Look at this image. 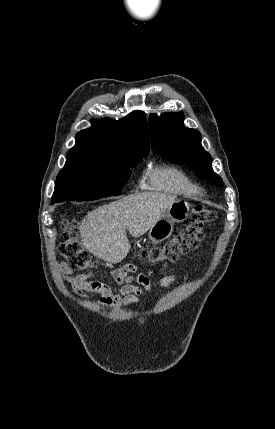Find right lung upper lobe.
I'll list each match as a JSON object with an SVG mask.
<instances>
[{"mask_svg":"<svg viewBox=\"0 0 275 429\" xmlns=\"http://www.w3.org/2000/svg\"><path fill=\"white\" fill-rule=\"evenodd\" d=\"M149 137L145 114L134 111L123 119L92 120V127L76 134L67 160L111 159L126 154H147Z\"/></svg>","mask_w":275,"mask_h":429,"instance_id":"right-lung-upper-lobe-1","label":"right lung upper lobe"}]
</instances>
